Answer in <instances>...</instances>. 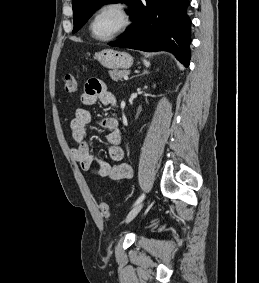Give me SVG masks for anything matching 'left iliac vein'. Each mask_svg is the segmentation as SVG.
<instances>
[{"label":"left iliac vein","mask_w":259,"mask_h":283,"mask_svg":"<svg viewBox=\"0 0 259 283\" xmlns=\"http://www.w3.org/2000/svg\"><path fill=\"white\" fill-rule=\"evenodd\" d=\"M144 203L140 202L139 204H137L136 206H134L130 212L127 214L125 222L129 223L130 221H132L137 215L138 213L141 211V209L143 208Z\"/></svg>","instance_id":"1"}]
</instances>
